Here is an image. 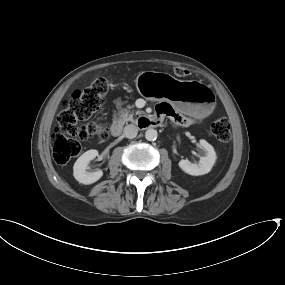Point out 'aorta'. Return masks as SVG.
Listing matches in <instances>:
<instances>
[{"label": "aorta", "mask_w": 285, "mask_h": 285, "mask_svg": "<svg viewBox=\"0 0 285 285\" xmlns=\"http://www.w3.org/2000/svg\"><path fill=\"white\" fill-rule=\"evenodd\" d=\"M157 136H158V133L155 129H147L146 132H145V138L148 140V141H154L157 139Z\"/></svg>", "instance_id": "762f6f07"}]
</instances>
